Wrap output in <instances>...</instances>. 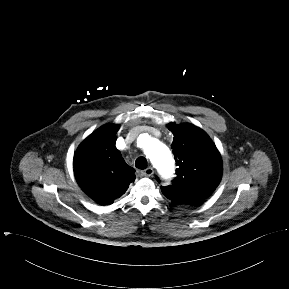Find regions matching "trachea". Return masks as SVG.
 Instances as JSON below:
<instances>
[{"label":"trachea","instance_id":"trachea-1","mask_svg":"<svg viewBox=\"0 0 289 289\" xmlns=\"http://www.w3.org/2000/svg\"><path fill=\"white\" fill-rule=\"evenodd\" d=\"M135 166L138 169H146L147 168V160L145 157H138L135 161Z\"/></svg>","mask_w":289,"mask_h":289}]
</instances>
